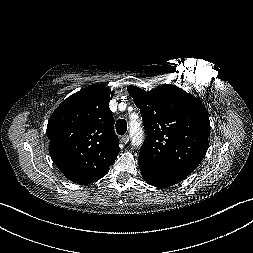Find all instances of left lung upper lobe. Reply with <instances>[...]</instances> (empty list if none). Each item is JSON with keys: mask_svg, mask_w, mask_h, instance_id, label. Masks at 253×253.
Returning <instances> with one entry per match:
<instances>
[{"mask_svg": "<svg viewBox=\"0 0 253 253\" xmlns=\"http://www.w3.org/2000/svg\"><path fill=\"white\" fill-rule=\"evenodd\" d=\"M127 90L147 135L139 155L159 169L191 174L208 149L210 121L202 102L171 84Z\"/></svg>", "mask_w": 253, "mask_h": 253, "instance_id": "5c2ea615", "label": "left lung upper lobe"}]
</instances>
